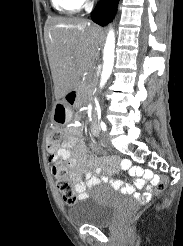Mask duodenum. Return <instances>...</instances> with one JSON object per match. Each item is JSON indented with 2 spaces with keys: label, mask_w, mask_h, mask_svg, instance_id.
Wrapping results in <instances>:
<instances>
[{
  "label": "duodenum",
  "mask_w": 183,
  "mask_h": 246,
  "mask_svg": "<svg viewBox=\"0 0 183 246\" xmlns=\"http://www.w3.org/2000/svg\"><path fill=\"white\" fill-rule=\"evenodd\" d=\"M76 98H77V90L76 89H72L71 91H69L67 93L66 96V100L70 103V104H74L76 102ZM93 149V148H92Z\"/></svg>",
  "instance_id": "1"
}]
</instances>
